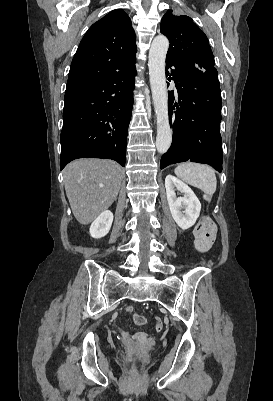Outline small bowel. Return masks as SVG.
I'll return each mask as SVG.
<instances>
[{
	"label": "small bowel",
	"mask_w": 273,
	"mask_h": 401,
	"mask_svg": "<svg viewBox=\"0 0 273 401\" xmlns=\"http://www.w3.org/2000/svg\"><path fill=\"white\" fill-rule=\"evenodd\" d=\"M197 236V235H196ZM211 243H212V241H198V239H197V242H196V245H197V248H198V250L199 251H201V252H206V251H208L209 250V248H210V246H211ZM126 312L127 313H132L133 312V307L132 306H127L126 307ZM134 321H138L136 318H134ZM140 321H146V319H142V320H140ZM154 327H155V333L156 334H161L162 333V324H163V319L162 318H156L155 320H154ZM140 336L139 337H141V338H146L147 336H148V333L146 332V331H141L140 332V334H139ZM122 337L123 338H128L129 337V332L128 331H123L122 332Z\"/></svg>",
	"instance_id": "obj_1"
}]
</instances>
